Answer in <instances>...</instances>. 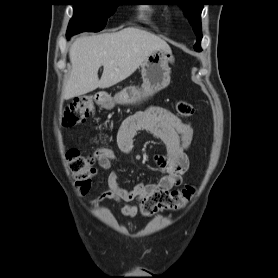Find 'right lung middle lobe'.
<instances>
[{
	"label": "right lung middle lobe",
	"instance_id": "obj_1",
	"mask_svg": "<svg viewBox=\"0 0 278 278\" xmlns=\"http://www.w3.org/2000/svg\"><path fill=\"white\" fill-rule=\"evenodd\" d=\"M120 0H71L74 16L70 20L67 37L84 31L97 32L105 27Z\"/></svg>",
	"mask_w": 278,
	"mask_h": 278
}]
</instances>
